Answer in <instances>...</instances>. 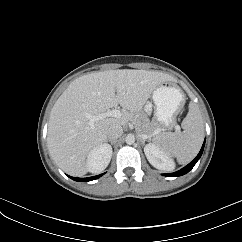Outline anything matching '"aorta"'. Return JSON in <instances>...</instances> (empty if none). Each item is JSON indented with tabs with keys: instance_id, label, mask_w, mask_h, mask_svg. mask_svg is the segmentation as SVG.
<instances>
[{
	"instance_id": "obj_1",
	"label": "aorta",
	"mask_w": 242,
	"mask_h": 242,
	"mask_svg": "<svg viewBox=\"0 0 242 242\" xmlns=\"http://www.w3.org/2000/svg\"><path fill=\"white\" fill-rule=\"evenodd\" d=\"M125 142H126L128 145H132V144H134V142H135V137H134V135H132V134H128V135L126 136V138H125Z\"/></svg>"
}]
</instances>
